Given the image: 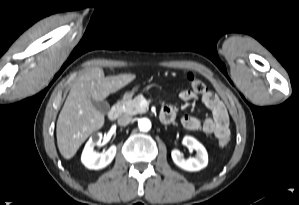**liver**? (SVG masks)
<instances>
[{"instance_id":"liver-1","label":"liver","mask_w":299,"mask_h":205,"mask_svg":"<svg viewBox=\"0 0 299 205\" xmlns=\"http://www.w3.org/2000/svg\"><path fill=\"white\" fill-rule=\"evenodd\" d=\"M135 78V74L105 77L100 67H94L77 78L56 126L58 149L65 159L72 158L89 135L104 125L103 113L94 107L91 100L104 101Z\"/></svg>"}]
</instances>
